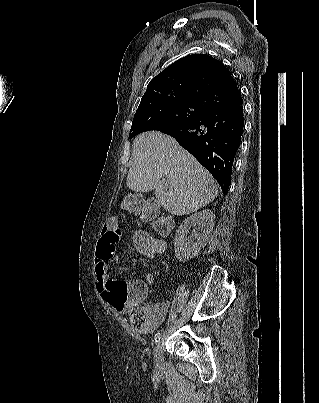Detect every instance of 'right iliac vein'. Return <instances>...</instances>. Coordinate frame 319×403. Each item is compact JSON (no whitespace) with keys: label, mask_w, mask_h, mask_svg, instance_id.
Listing matches in <instances>:
<instances>
[{"label":"right iliac vein","mask_w":319,"mask_h":403,"mask_svg":"<svg viewBox=\"0 0 319 403\" xmlns=\"http://www.w3.org/2000/svg\"><path fill=\"white\" fill-rule=\"evenodd\" d=\"M154 366L157 372L162 370L163 359H162V343L159 341L154 348Z\"/></svg>","instance_id":"obj_1"}]
</instances>
